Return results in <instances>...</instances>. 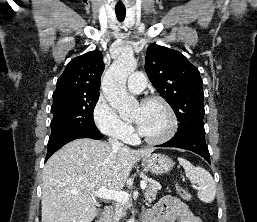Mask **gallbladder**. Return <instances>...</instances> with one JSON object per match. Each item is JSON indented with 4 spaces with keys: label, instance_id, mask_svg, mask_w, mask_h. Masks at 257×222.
Segmentation results:
<instances>
[{
    "label": "gallbladder",
    "instance_id": "obj_1",
    "mask_svg": "<svg viewBox=\"0 0 257 222\" xmlns=\"http://www.w3.org/2000/svg\"><path fill=\"white\" fill-rule=\"evenodd\" d=\"M98 216H101V211H98V214H97Z\"/></svg>",
    "mask_w": 257,
    "mask_h": 222
}]
</instances>
